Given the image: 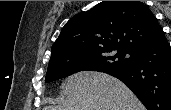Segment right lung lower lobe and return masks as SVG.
<instances>
[{"label":"right lung lower lobe","mask_w":171,"mask_h":110,"mask_svg":"<svg viewBox=\"0 0 171 110\" xmlns=\"http://www.w3.org/2000/svg\"><path fill=\"white\" fill-rule=\"evenodd\" d=\"M134 62L106 73L120 79L148 110H171V48L166 38L134 52Z\"/></svg>","instance_id":"1"}]
</instances>
